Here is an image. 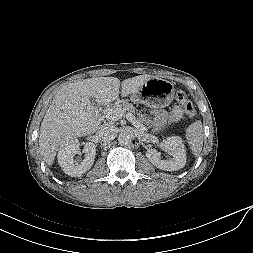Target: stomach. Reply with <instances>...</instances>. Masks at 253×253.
Masks as SVG:
<instances>
[{
  "instance_id": "1",
  "label": "stomach",
  "mask_w": 253,
  "mask_h": 253,
  "mask_svg": "<svg viewBox=\"0 0 253 253\" xmlns=\"http://www.w3.org/2000/svg\"><path fill=\"white\" fill-rule=\"evenodd\" d=\"M174 84L168 80L153 77L147 80L141 88L131 94V100L152 108L168 106L174 99Z\"/></svg>"
}]
</instances>
